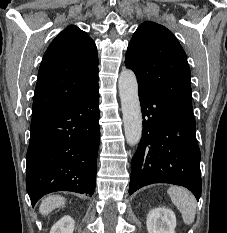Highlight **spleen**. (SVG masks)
<instances>
[{"mask_svg":"<svg viewBox=\"0 0 227 233\" xmlns=\"http://www.w3.org/2000/svg\"><path fill=\"white\" fill-rule=\"evenodd\" d=\"M167 193L173 204L181 212L184 223L186 225L192 224L196 215V199L194 195L189 190L179 186H171Z\"/></svg>","mask_w":227,"mask_h":233,"instance_id":"1","label":"spleen"}]
</instances>
